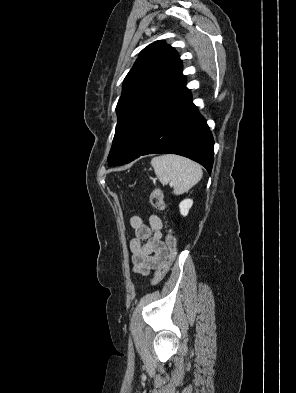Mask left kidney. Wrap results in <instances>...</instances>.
I'll use <instances>...</instances> for the list:
<instances>
[{
	"label": "left kidney",
	"mask_w": 296,
	"mask_h": 393,
	"mask_svg": "<svg viewBox=\"0 0 296 393\" xmlns=\"http://www.w3.org/2000/svg\"><path fill=\"white\" fill-rule=\"evenodd\" d=\"M192 205H193L192 199H185L182 202H180L179 209H180L181 215L187 216Z\"/></svg>",
	"instance_id": "obj_1"
}]
</instances>
